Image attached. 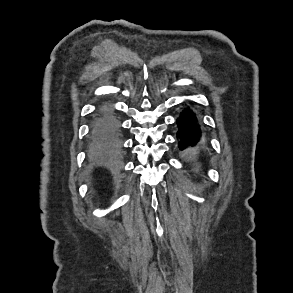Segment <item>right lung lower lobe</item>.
Returning a JSON list of instances; mask_svg holds the SVG:
<instances>
[{"label":"right lung lower lobe","instance_id":"98d812e1","mask_svg":"<svg viewBox=\"0 0 293 293\" xmlns=\"http://www.w3.org/2000/svg\"><path fill=\"white\" fill-rule=\"evenodd\" d=\"M91 141L98 151L109 155H115L120 149V123L110 106L104 105L97 110L91 127Z\"/></svg>","mask_w":293,"mask_h":293}]
</instances>
